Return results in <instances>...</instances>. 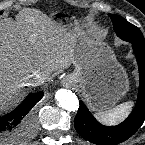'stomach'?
<instances>
[{"label":"stomach","mask_w":145,"mask_h":145,"mask_svg":"<svg viewBox=\"0 0 145 145\" xmlns=\"http://www.w3.org/2000/svg\"><path fill=\"white\" fill-rule=\"evenodd\" d=\"M100 43L90 42L79 51L69 82L78 84L85 96L96 106L107 108L115 104L125 93V84L115 61Z\"/></svg>","instance_id":"1"}]
</instances>
